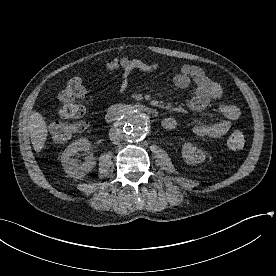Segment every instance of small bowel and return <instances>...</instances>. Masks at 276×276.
Masks as SVG:
<instances>
[{
    "label": "small bowel",
    "instance_id": "obj_1",
    "mask_svg": "<svg viewBox=\"0 0 276 276\" xmlns=\"http://www.w3.org/2000/svg\"><path fill=\"white\" fill-rule=\"evenodd\" d=\"M137 68L143 71H153L158 68L157 63H146L135 60ZM131 70L124 71L121 76L119 91L124 92L128 85V76ZM175 86L181 89H189L187 105L193 112L199 113L204 110L212 101H217L222 97L221 86L211 80L205 71L194 65H183L179 72L173 77ZM217 114L220 116L214 122H198L193 127V132L199 137L218 138L224 136L232 127L234 121L238 120L240 109L232 104H220L217 107ZM162 125L167 130H172L177 126V121L173 117H166Z\"/></svg>",
    "mask_w": 276,
    "mask_h": 276
}]
</instances>
